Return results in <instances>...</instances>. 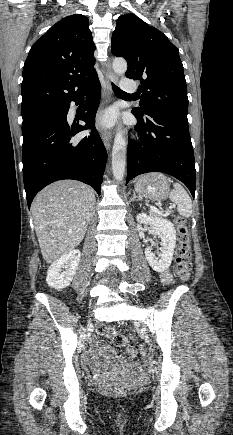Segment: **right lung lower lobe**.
Returning a JSON list of instances; mask_svg holds the SVG:
<instances>
[{
  "mask_svg": "<svg viewBox=\"0 0 233 435\" xmlns=\"http://www.w3.org/2000/svg\"><path fill=\"white\" fill-rule=\"evenodd\" d=\"M87 96L79 124L69 127L67 113L70 103L62 109L22 124L23 179L28 208L35 195L48 184L62 179H74L101 191L107 152L95 128V115L100 100V82L93 78L72 101L80 102ZM91 128L89 136L78 143L71 138Z\"/></svg>",
  "mask_w": 233,
  "mask_h": 435,
  "instance_id": "obj_1",
  "label": "right lung lower lobe"
}]
</instances>
